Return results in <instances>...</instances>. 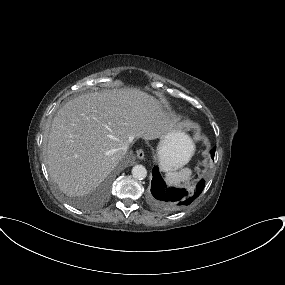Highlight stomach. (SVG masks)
<instances>
[{"instance_id":"1","label":"stomach","mask_w":285,"mask_h":285,"mask_svg":"<svg viewBox=\"0 0 285 285\" xmlns=\"http://www.w3.org/2000/svg\"><path fill=\"white\" fill-rule=\"evenodd\" d=\"M190 138L185 135L182 132H176L174 133L173 137V142L182 150L183 155L180 156H174L172 154L168 156H163V144L160 147L159 153H160V164L162 169L164 170H176L183 165H185L193 151H194V146L192 143L189 142Z\"/></svg>"}]
</instances>
